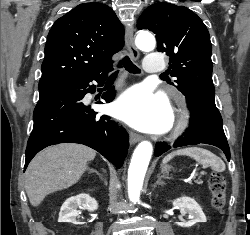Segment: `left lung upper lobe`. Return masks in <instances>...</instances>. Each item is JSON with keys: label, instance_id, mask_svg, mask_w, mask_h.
I'll list each match as a JSON object with an SVG mask.
<instances>
[{"label": "left lung upper lobe", "instance_id": "left-lung-upper-lobe-1", "mask_svg": "<svg viewBox=\"0 0 250 235\" xmlns=\"http://www.w3.org/2000/svg\"><path fill=\"white\" fill-rule=\"evenodd\" d=\"M137 28L156 35L157 50L170 57L169 82L186 95L189 91L214 87L212 80V46L203 21L184 6L155 3L144 10Z\"/></svg>", "mask_w": 250, "mask_h": 235}]
</instances>
